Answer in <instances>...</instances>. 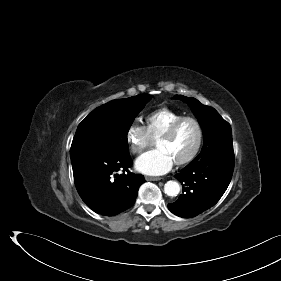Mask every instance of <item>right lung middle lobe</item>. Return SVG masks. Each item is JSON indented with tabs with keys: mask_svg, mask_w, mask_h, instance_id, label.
<instances>
[{
	"mask_svg": "<svg viewBox=\"0 0 281 281\" xmlns=\"http://www.w3.org/2000/svg\"><path fill=\"white\" fill-rule=\"evenodd\" d=\"M151 97L141 94L117 99L93 110L77 128L70 149L71 161L94 156L117 158L128 155L129 128Z\"/></svg>",
	"mask_w": 281,
	"mask_h": 281,
	"instance_id": "obj_1",
	"label": "right lung middle lobe"
}]
</instances>
